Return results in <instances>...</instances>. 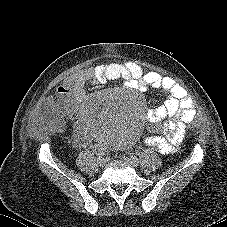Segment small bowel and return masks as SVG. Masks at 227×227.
Masks as SVG:
<instances>
[{"mask_svg": "<svg viewBox=\"0 0 227 227\" xmlns=\"http://www.w3.org/2000/svg\"><path fill=\"white\" fill-rule=\"evenodd\" d=\"M117 79L138 91L148 86L163 90L166 95L164 103L147 113V120L154 125V131L162 135H150L144 142L163 154L175 153L184 139L180 136V129L195 116L194 102L187 96L184 87L171 77L155 71L144 72L135 63L101 64L75 72L58 87L54 97L47 99L45 108L52 110L59 104L67 109H76L86 98L87 84L97 85ZM77 136L80 143V133Z\"/></svg>", "mask_w": 227, "mask_h": 227, "instance_id": "1", "label": "small bowel"}]
</instances>
